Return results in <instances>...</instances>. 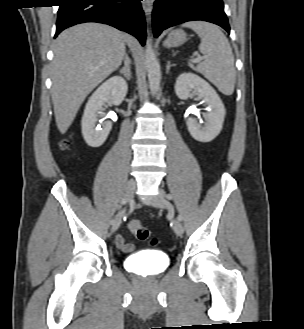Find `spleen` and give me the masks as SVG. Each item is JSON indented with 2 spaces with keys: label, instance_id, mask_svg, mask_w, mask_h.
I'll use <instances>...</instances> for the list:
<instances>
[{
  "label": "spleen",
  "instance_id": "spleen-1",
  "mask_svg": "<svg viewBox=\"0 0 304 329\" xmlns=\"http://www.w3.org/2000/svg\"><path fill=\"white\" fill-rule=\"evenodd\" d=\"M182 27L192 29L201 39L199 50L205 56V61L198 66L200 73L221 93L232 95L236 72L234 56L226 36L216 25L204 21L187 22Z\"/></svg>",
  "mask_w": 304,
  "mask_h": 329
}]
</instances>
